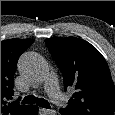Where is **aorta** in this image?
<instances>
[{"label": "aorta", "instance_id": "762f6f07", "mask_svg": "<svg viewBox=\"0 0 115 115\" xmlns=\"http://www.w3.org/2000/svg\"><path fill=\"white\" fill-rule=\"evenodd\" d=\"M19 68L27 78L39 82L42 80L43 75L47 70V65L39 54L28 52L21 57Z\"/></svg>", "mask_w": 115, "mask_h": 115}]
</instances>
